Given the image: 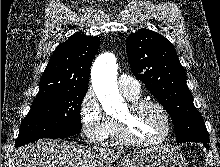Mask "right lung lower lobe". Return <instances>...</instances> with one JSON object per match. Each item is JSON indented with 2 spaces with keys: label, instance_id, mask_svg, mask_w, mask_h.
I'll list each match as a JSON object with an SVG mask.
<instances>
[{
  "label": "right lung lower lobe",
  "instance_id": "obj_1",
  "mask_svg": "<svg viewBox=\"0 0 220 167\" xmlns=\"http://www.w3.org/2000/svg\"><path fill=\"white\" fill-rule=\"evenodd\" d=\"M65 137H67V136H63V137H60V138H65Z\"/></svg>",
  "mask_w": 220,
  "mask_h": 167
}]
</instances>
